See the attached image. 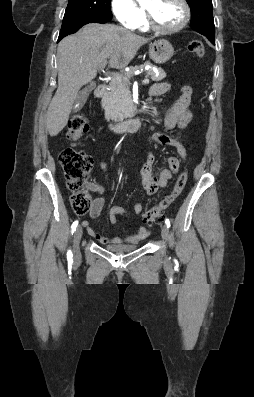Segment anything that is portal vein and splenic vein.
I'll list each match as a JSON object with an SVG mask.
<instances>
[{
	"instance_id": "portal-vein-and-splenic-vein-1",
	"label": "portal vein and splenic vein",
	"mask_w": 254,
	"mask_h": 397,
	"mask_svg": "<svg viewBox=\"0 0 254 397\" xmlns=\"http://www.w3.org/2000/svg\"><path fill=\"white\" fill-rule=\"evenodd\" d=\"M106 65H107V61H103L102 63H100V65L98 66V67H99V70H100V71H103V69L105 68ZM110 75H111V77H112L113 80H120V79H121V75H119V74H117V73H110ZM142 83H143V84H148V83H149V79H148V78H145V79L142 81Z\"/></svg>"
}]
</instances>
